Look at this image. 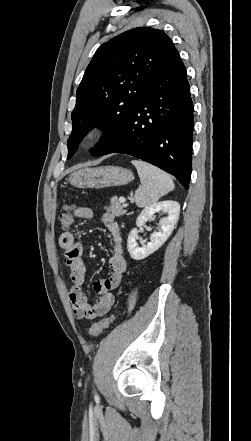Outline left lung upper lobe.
I'll list each match as a JSON object with an SVG mask.
<instances>
[{"label": "left lung upper lobe", "mask_w": 251, "mask_h": 441, "mask_svg": "<svg viewBox=\"0 0 251 441\" xmlns=\"http://www.w3.org/2000/svg\"><path fill=\"white\" fill-rule=\"evenodd\" d=\"M175 51L163 31L150 27L128 30L98 48L77 89L68 159L94 126L117 128L126 121Z\"/></svg>", "instance_id": "5c2ea615"}]
</instances>
